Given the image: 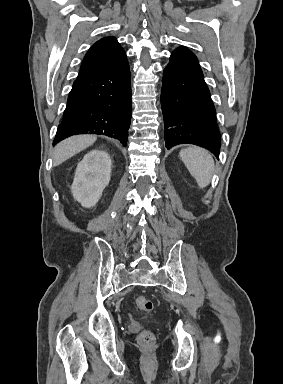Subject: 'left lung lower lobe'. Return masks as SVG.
Returning a JSON list of instances; mask_svg holds the SVG:
<instances>
[{"label": "left lung lower lobe", "instance_id": "obj_1", "mask_svg": "<svg viewBox=\"0 0 283 384\" xmlns=\"http://www.w3.org/2000/svg\"><path fill=\"white\" fill-rule=\"evenodd\" d=\"M161 91L165 146L195 144L218 158L221 145L216 110L198 59L186 47L171 54Z\"/></svg>", "mask_w": 283, "mask_h": 384}]
</instances>
